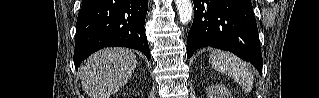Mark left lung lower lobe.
Returning <instances> with one entry per match:
<instances>
[{
	"label": "left lung lower lobe",
	"instance_id": "left-lung-lower-lobe-1",
	"mask_svg": "<svg viewBox=\"0 0 319 98\" xmlns=\"http://www.w3.org/2000/svg\"><path fill=\"white\" fill-rule=\"evenodd\" d=\"M194 21L188 33L187 58L211 46L252 63L262 74L257 25L250 0H193Z\"/></svg>",
	"mask_w": 319,
	"mask_h": 98
}]
</instances>
